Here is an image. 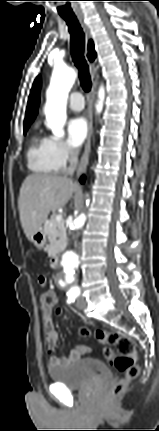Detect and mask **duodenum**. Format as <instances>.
<instances>
[{
    "label": "duodenum",
    "mask_w": 159,
    "mask_h": 431,
    "mask_svg": "<svg viewBox=\"0 0 159 431\" xmlns=\"http://www.w3.org/2000/svg\"><path fill=\"white\" fill-rule=\"evenodd\" d=\"M59 263H60V255H58V254L53 255L51 257V260H50V266L53 269H56V268H58Z\"/></svg>",
    "instance_id": "410a0bca"
}]
</instances>
